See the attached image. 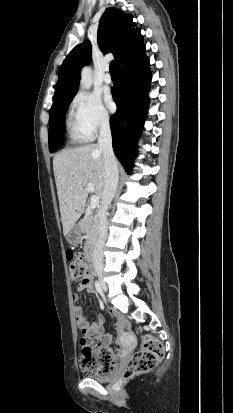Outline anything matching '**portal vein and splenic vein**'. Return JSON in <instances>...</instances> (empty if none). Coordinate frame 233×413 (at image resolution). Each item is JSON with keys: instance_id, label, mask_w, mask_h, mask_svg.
<instances>
[{"instance_id": "1", "label": "portal vein and splenic vein", "mask_w": 233, "mask_h": 413, "mask_svg": "<svg viewBox=\"0 0 233 413\" xmlns=\"http://www.w3.org/2000/svg\"><path fill=\"white\" fill-rule=\"evenodd\" d=\"M87 189L90 192H93L94 191V185L92 183H88L87 184ZM98 204H99V197L96 196V195H93L91 197V200H90V209H92V210L95 209L98 206Z\"/></svg>"}]
</instances>
